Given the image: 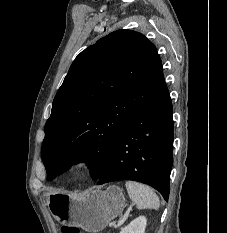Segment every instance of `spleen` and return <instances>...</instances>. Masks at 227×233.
<instances>
[{"label":"spleen","mask_w":227,"mask_h":233,"mask_svg":"<svg viewBox=\"0 0 227 233\" xmlns=\"http://www.w3.org/2000/svg\"><path fill=\"white\" fill-rule=\"evenodd\" d=\"M125 186L129 197L139 210L159 209V198L149 186L134 181H127Z\"/></svg>","instance_id":"spleen-1"}]
</instances>
